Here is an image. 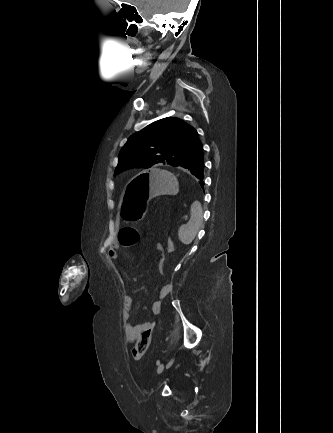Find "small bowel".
Wrapping results in <instances>:
<instances>
[{
	"label": "small bowel",
	"mask_w": 333,
	"mask_h": 433,
	"mask_svg": "<svg viewBox=\"0 0 333 433\" xmlns=\"http://www.w3.org/2000/svg\"><path fill=\"white\" fill-rule=\"evenodd\" d=\"M157 248L160 251L159 268L161 269L165 259V248L162 244H157ZM168 250V249H167ZM108 256L111 259H116L118 256V247L114 244L108 249ZM171 286L168 284L162 285L157 293V299L152 304V313L157 315L160 311L161 302L170 294ZM134 305V299L130 295H125L123 298V327L125 338L128 342H134L138 340L142 332L149 329L150 322H143L140 324H133L131 322L132 309Z\"/></svg>",
	"instance_id": "1"
}]
</instances>
